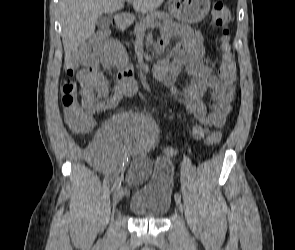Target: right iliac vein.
Returning a JSON list of instances; mask_svg holds the SVG:
<instances>
[{
	"mask_svg": "<svg viewBox=\"0 0 295 250\" xmlns=\"http://www.w3.org/2000/svg\"><path fill=\"white\" fill-rule=\"evenodd\" d=\"M123 197V187H119L113 194L112 197V208H113V212L114 209L116 208L117 204L120 202V200Z\"/></svg>",
	"mask_w": 295,
	"mask_h": 250,
	"instance_id": "1",
	"label": "right iliac vein"
}]
</instances>
